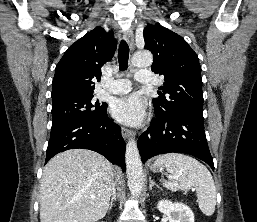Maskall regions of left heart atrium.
I'll return each instance as SVG.
<instances>
[{
  "label": "left heart atrium",
  "mask_w": 257,
  "mask_h": 222,
  "mask_svg": "<svg viewBox=\"0 0 257 222\" xmlns=\"http://www.w3.org/2000/svg\"><path fill=\"white\" fill-rule=\"evenodd\" d=\"M114 117L126 125H139L145 117V103L136 94L118 99L113 106Z\"/></svg>",
  "instance_id": "39dd6f15"
}]
</instances>
